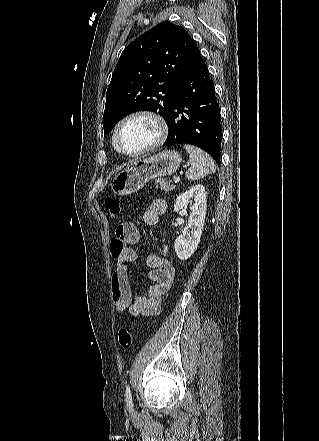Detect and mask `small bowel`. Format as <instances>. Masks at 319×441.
Returning <instances> with one entry per match:
<instances>
[{
	"label": "small bowel",
	"instance_id": "1",
	"mask_svg": "<svg viewBox=\"0 0 319 441\" xmlns=\"http://www.w3.org/2000/svg\"><path fill=\"white\" fill-rule=\"evenodd\" d=\"M166 210L167 203L164 199H154L143 214V222L148 226H155ZM139 241L140 232L135 224L126 222L116 228V236L110 245L111 254L117 261L111 279V294L117 312L128 310L134 317H148L160 313L162 296L169 290L174 279V268L165 258L168 252L166 245L162 248V256L148 255L146 264L153 284L146 295L133 297L128 269L137 260V253L130 245L138 244Z\"/></svg>",
	"mask_w": 319,
	"mask_h": 441
}]
</instances>
